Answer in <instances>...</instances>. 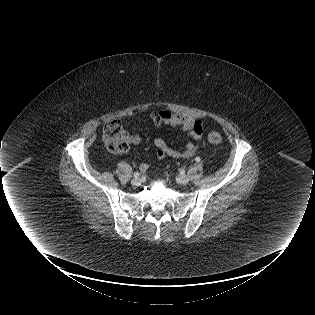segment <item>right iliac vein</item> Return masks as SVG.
<instances>
[{"label": "right iliac vein", "mask_w": 315, "mask_h": 315, "mask_svg": "<svg viewBox=\"0 0 315 315\" xmlns=\"http://www.w3.org/2000/svg\"><path fill=\"white\" fill-rule=\"evenodd\" d=\"M131 184L135 187L141 185V179L139 178H134L132 181H131Z\"/></svg>", "instance_id": "obj_1"}]
</instances>
